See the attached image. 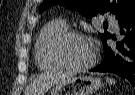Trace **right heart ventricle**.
I'll use <instances>...</instances> for the list:
<instances>
[{"label": "right heart ventricle", "mask_w": 135, "mask_h": 95, "mask_svg": "<svg viewBox=\"0 0 135 95\" xmlns=\"http://www.w3.org/2000/svg\"><path fill=\"white\" fill-rule=\"evenodd\" d=\"M68 31L66 23L60 20L48 22L40 30L34 47L35 60L42 70L62 68L53 55V45L63 33Z\"/></svg>", "instance_id": "right-heart-ventricle-1"}]
</instances>
